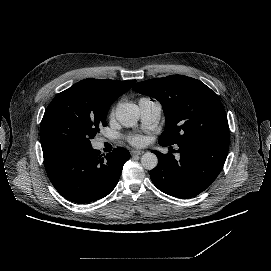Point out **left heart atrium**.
<instances>
[{
	"instance_id": "39dd6f15",
	"label": "left heart atrium",
	"mask_w": 271,
	"mask_h": 271,
	"mask_svg": "<svg viewBox=\"0 0 271 271\" xmlns=\"http://www.w3.org/2000/svg\"><path fill=\"white\" fill-rule=\"evenodd\" d=\"M128 141L133 146H141L145 142V138L138 134H133L128 136Z\"/></svg>"
}]
</instances>
